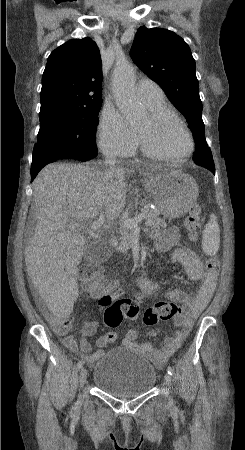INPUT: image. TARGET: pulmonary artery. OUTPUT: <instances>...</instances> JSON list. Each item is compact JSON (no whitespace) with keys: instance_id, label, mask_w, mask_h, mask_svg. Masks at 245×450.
I'll use <instances>...</instances> for the list:
<instances>
[{"instance_id":"1","label":"pulmonary artery","mask_w":245,"mask_h":450,"mask_svg":"<svg viewBox=\"0 0 245 450\" xmlns=\"http://www.w3.org/2000/svg\"><path fill=\"white\" fill-rule=\"evenodd\" d=\"M135 90L140 100L147 106L164 101L162 88L150 79L145 78L138 81Z\"/></svg>"}]
</instances>
